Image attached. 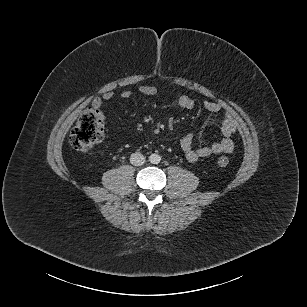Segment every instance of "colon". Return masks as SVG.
<instances>
[{
    "instance_id": "5ec220e1",
    "label": "colon",
    "mask_w": 307,
    "mask_h": 307,
    "mask_svg": "<svg viewBox=\"0 0 307 307\" xmlns=\"http://www.w3.org/2000/svg\"><path fill=\"white\" fill-rule=\"evenodd\" d=\"M104 138V122L98 111L89 107L79 117L76 125L70 132L69 142L79 152H87L97 146ZM229 159L226 156L218 158L220 167H227Z\"/></svg>"
}]
</instances>
